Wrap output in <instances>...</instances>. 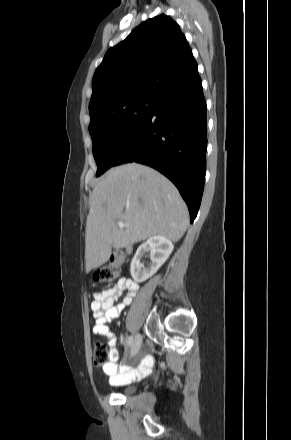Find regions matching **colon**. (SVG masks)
<instances>
[{
  "mask_svg": "<svg viewBox=\"0 0 291 440\" xmlns=\"http://www.w3.org/2000/svg\"><path fill=\"white\" fill-rule=\"evenodd\" d=\"M122 262L123 258L120 255H116L109 265L101 267L94 273L92 281L94 283H108L117 280ZM109 358L108 347L101 342L95 343L92 349L93 363L97 366H103L109 361Z\"/></svg>",
  "mask_w": 291,
  "mask_h": 440,
  "instance_id": "colon-1",
  "label": "colon"
}]
</instances>
